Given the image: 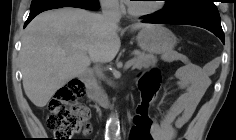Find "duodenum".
<instances>
[{"mask_svg": "<svg viewBox=\"0 0 236 140\" xmlns=\"http://www.w3.org/2000/svg\"><path fill=\"white\" fill-rule=\"evenodd\" d=\"M80 78L88 87L87 98L89 101L99 103L102 106H108V97L96 87L93 73L90 70H85L81 73Z\"/></svg>", "mask_w": 236, "mask_h": 140, "instance_id": "obj_1", "label": "duodenum"}]
</instances>
